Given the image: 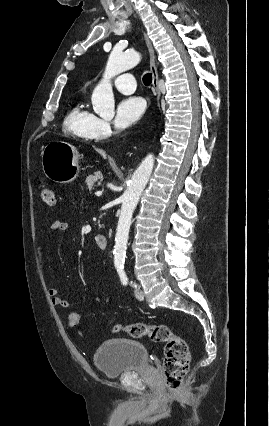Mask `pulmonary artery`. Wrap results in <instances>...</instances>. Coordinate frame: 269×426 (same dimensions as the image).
<instances>
[{
  "label": "pulmonary artery",
  "instance_id": "obj_1",
  "mask_svg": "<svg viewBox=\"0 0 269 426\" xmlns=\"http://www.w3.org/2000/svg\"><path fill=\"white\" fill-rule=\"evenodd\" d=\"M115 88L124 94H131L136 89L135 78L130 73H123L113 80Z\"/></svg>",
  "mask_w": 269,
  "mask_h": 426
}]
</instances>
